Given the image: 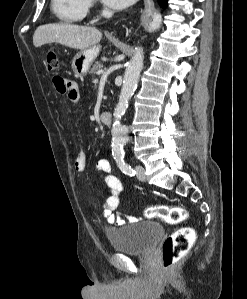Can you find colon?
<instances>
[{
  "mask_svg": "<svg viewBox=\"0 0 247 299\" xmlns=\"http://www.w3.org/2000/svg\"><path fill=\"white\" fill-rule=\"evenodd\" d=\"M45 62L49 71L58 69L59 62L54 51L45 54ZM147 218H159L168 224H179L187 217L181 206L155 205L144 210ZM195 239V232L190 227H181L169 235L162 245V261L165 269L172 268L189 251Z\"/></svg>",
  "mask_w": 247,
  "mask_h": 299,
  "instance_id": "colon-1",
  "label": "colon"
}]
</instances>
